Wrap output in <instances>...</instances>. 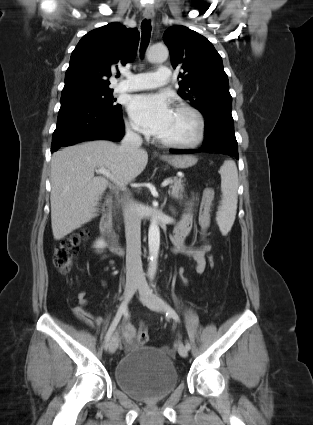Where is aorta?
Listing matches in <instances>:
<instances>
[{"mask_svg":"<svg viewBox=\"0 0 313 425\" xmlns=\"http://www.w3.org/2000/svg\"><path fill=\"white\" fill-rule=\"evenodd\" d=\"M169 56V51L164 45L152 46L148 51V60L150 62H164ZM148 247H149V274L154 276L157 268V259L160 248V229L158 222L153 220L148 231Z\"/></svg>","mask_w":313,"mask_h":425,"instance_id":"1","label":"aorta"}]
</instances>
